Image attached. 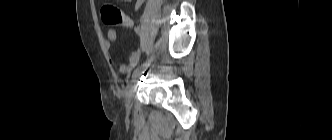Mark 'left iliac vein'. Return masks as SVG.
I'll use <instances>...</instances> for the list:
<instances>
[{
  "label": "left iliac vein",
  "mask_w": 332,
  "mask_h": 140,
  "mask_svg": "<svg viewBox=\"0 0 332 140\" xmlns=\"http://www.w3.org/2000/svg\"><path fill=\"white\" fill-rule=\"evenodd\" d=\"M146 69V68H145ZM142 69L139 72H137L136 74L133 75L132 79H131V86L130 89L126 95V106L128 108H130L132 106V100L135 94V84L137 83L139 76L141 75V73L145 70Z\"/></svg>",
  "instance_id": "left-iliac-vein-1"
}]
</instances>
